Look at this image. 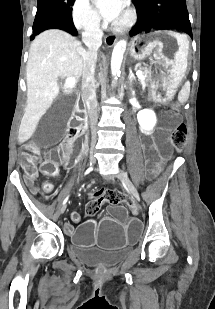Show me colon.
<instances>
[{
  "mask_svg": "<svg viewBox=\"0 0 215 309\" xmlns=\"http://www.w3.org/2000/svg\"><path fill=\"white\" fill-rule=\"evenodd\" d=\"M187 141V126L184 122H180L176 125L173 134L172 142L177 151H182ZM39 156L34 152H25L22 158V165L25 171L29 174H33ZM58 163L56 161H48L45 163L44 172L51 178L55 177L58 173ZM42 189L45 192H51L53 189V183L51 180H46ZM103 202H107L110 205H121L129 202L123 193L116 190H102L101 193H95L91 196L90 200L85 205L86 215L89 217L95 216L101 209Z\"/></svg>",
  "mask_w": 215,
  "mask_h": 309,
  "instance_id": "1",
  "label": "colon"
}]
</instances>
